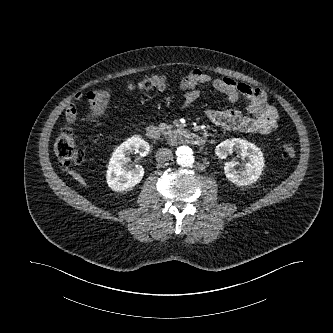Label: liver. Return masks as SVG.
Listing matches in <instances>:
<instances>
[{
    "label": "liver",
    "instance_id": "obj_1",
    "mask_svg": "<svg viewBox=\"0 0 333 333\" xmlns=\"http://www.w3.org/2000/svg\"><path fill=\"white\" fill-rule=\"evenodd\" d=\"M74 177H75V179H76L78 182H80L83 186H86V183H85L84 179L81 177L80 174L75 173V174H74Z\"/></svg>",
    "mask_w": 333,
    "mask_h": 333
}]
</instances>
